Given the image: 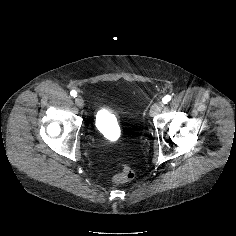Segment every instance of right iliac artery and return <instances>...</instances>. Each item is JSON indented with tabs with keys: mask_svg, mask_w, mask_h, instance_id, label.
<instances>
[{
	"mask_svg": "<svg viewBox=\"0 0 236 236\" xmlns=\"http://www.w3.org/2000/svg\"><path fill=\"white\" fill-rule=\"evenodd\" d=\"M70 94H71V96L76 97L77 92H76L75 90H72V91L70 92Z\"/></svg>",
	"mask_w": 236,
	"mask_h": 236,
	"instance_id": "82829eb1",
	"label": "right iliac artery"
}]
</instances>
